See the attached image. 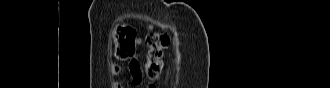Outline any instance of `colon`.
I'll use <instances>...</instances> for the list:
<instances>
[{"label":"colon","mask_w":330,"mask_h":88,"mask_svg":"<svg viewBox=\"0 0 330 88\" xmlns=\"http://www.w3.org/2000/svg\"><path fill=\"white\" fill-rule=\"evenodd\" d=\"M135 31L129 26H119L114 34L115 54L120 59H132L135 52ZM147 46L146 62L144 64V74L147 79L157 81L160 79L163 70V51L169 44V37L165 33L151 31L145 38ZM137 63L131 61L132 66ZM154 87V86H150Z\"/></svg>","instance_id":"colon-1"}]
</instances>
